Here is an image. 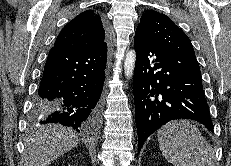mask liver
Returning a JSON list of instances; mask_svg holds the SVG:
<instances>
[{"label": "liver", "instance_id": "obj_1", "mask_svg": "<svg viewBox=\"0 0 231 166\" xmlns=\"http://www.w3.org/2000/svg\"><path fill=\"white\" fill-rule=\"evenodd\" d=\"M79 141L71 128L61 125L41 126L26 138L28 166H48L59 156L73 149Z\"/></svg>", "mask_w": 231, "mask_h": 166}]
</instances>
